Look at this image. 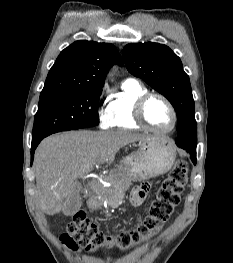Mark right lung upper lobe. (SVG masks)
I'll return each mask as SVG.
<instances>
[{
    "label": "right lung upper lobe",
    "mask_w": 233,
    "mask_h": 263,
    "mask_svg": "<svg viewBox=\"0 0 233 263\" xmlns=\"http://www.w3.org/2000/svg\"><path fill=\"white\" fill-rule=\"evenodd\" d=\"M115 63L123 64L114 45L76 41L58 56L40 95L67 90L102 89L108 69Z\"/></svg>",
    "instance_id": "right-lung-upper-lobe-1"
}]
</instances>
